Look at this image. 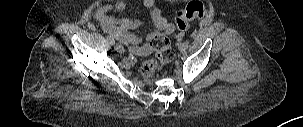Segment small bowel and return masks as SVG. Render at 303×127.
Wrapping results in <instances>:
<instances>
[{
    "label": "small bowel",
    "instance_id": "1",
    "mask_svg": "<svg viewBox=\"0 0 303 127\" xmlns=\"http://www.w3.org/2000/svg\"><path fill=\"white\" fill-rule=\"evenodd\" d=\"M144 7L148 10L154 30L147 35L145 41L131 32L143 25L140 20L130 17L115 18L112 12H122L125 9V3L116 1L114 3L100 6L94 13V19L100 27L111 37L119 40L136 55H146L150 52V40L159 35L171 36L174 34V25L166 20L161 10L156 6L155 0H143Z\"/></svg>",
    "mask_w": 303,
    "mask_h": 127
}]
</instances>
